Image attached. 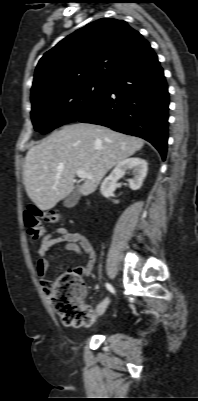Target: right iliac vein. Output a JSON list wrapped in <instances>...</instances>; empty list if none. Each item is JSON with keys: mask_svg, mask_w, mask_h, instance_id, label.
<instances>
[{"mask_svg": "<svg viewBox=\"0 0 198 401\" xmlns=\"http://www.w3.org/2000/svg\"><path fill=\"white\" fill-rule=\"evenodd\" d=\"M107 305H108V300H106V303L104 304V306L102 308L98 309V314H100V315L103 314V312L106 309Z\"/></svg>", "mask_w": 198, "mask_h": 401, "instance_id": "obj_1", "label": "right iliac vein"}]
</instances>
